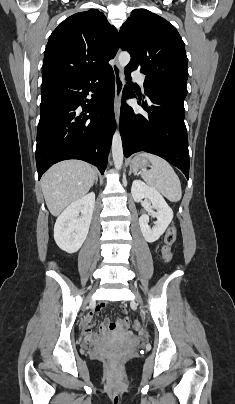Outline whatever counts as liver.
Here are the masks:
<instances>
[{
	"mask_svg": "<svg viewBox=\"0 0 235 404\" xmlns=\"http://www.w3.org/2000/svg\"><path fill=\"white\" fill-rule=\"evenodd\" d=\"M95 169L80 160H65L53 165L42 177L46 205L58 216L68 205L82 198L93 186Z\"/></svg>",
	"mask_w": 235,
	"mask_h": 404,
	"instance_id": "1",
	"label": "liver"
}]
</instances>
